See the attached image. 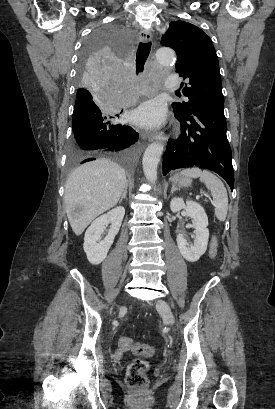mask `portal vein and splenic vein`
I'll return each instance as SVG.
<instances>
[{
	"mask_svg": "<svg viewBox=\"0 0 275 409\" xmlns=\"http://www.w3.org/2000/svg\"><path fill=\"white\" fill-rule=\"evenodd\" d=\"M196 198H200L199 194H197Z\"/></svg>",
	"mask_w": 275,
	"mask_h": 409,
	"instance_id": "1",
	"label": "portal vein and splenic vein"
}]
</instances>
